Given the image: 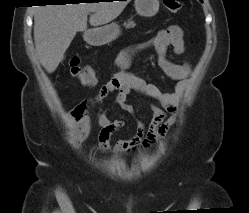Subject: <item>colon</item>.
Returning a JSON list of instances; mask_svg holds the SVG:
<instances>
[{"instance_id":"1","label":"colon","mask_w":249,"mask_h":213,"mask_svg":"<svg viewBox=\"0 0 249 213\" xmlns=\"http://www.w3.org/2000/svg\"><path fill=\"white\" fill-rule=\"evenodd\" d=\"M165 7L172 12H178L182 9L181 0H163ZM71 74L83 85L90 86L96 82L97 74L89 65L81 64L78 57H72L69 61Z\"/></svg>"}]
</instances>
